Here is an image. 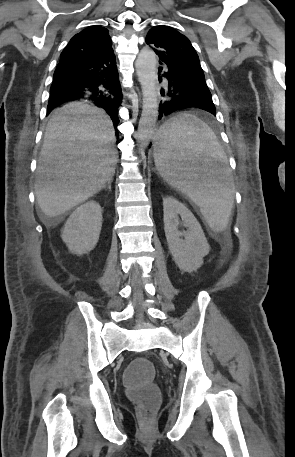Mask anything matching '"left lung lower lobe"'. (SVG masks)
Listing matches in <instances>:
<instances>
[{
	"instance_id": "obj_1",
	"label": "left lung lower lobe",
	"mask_w": 295,
	"mask_h": 457,
	"mask_svg": "<svg viewBox=\"0 0 295 457\" xmlns=\"http://www.w3.org/2000/svg\"><path fill=\"white\" fill-rule=\"evenodd\" d=\"M159 72L166 67L163 75L168 80V90L161 91L166 100L159 105V119L163 116L185 108H200L216 115L211 93L203 83V73L188 69L159 54ZM160 80V76H159Z\"/></svg>"
}]
</instances>
